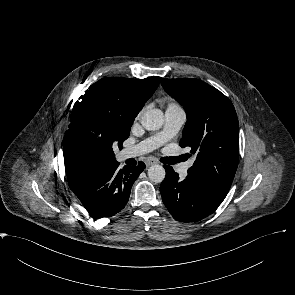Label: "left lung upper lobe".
Listing matches in <instances>:
<instances>
[{
	"label": "left lung upper lobe",
	"instance_id": "left-lung-upper-lobe-1",
	"mask_svg": "<svg viewBox=\"0 0 295 295\" xmlns=\"http://www.w3.org/2000/svg\"><path fill=\"white\" fill-rule=\"evenodd\" d=\"M161 84L186 111L180 146L190 147L196 156L188 175L224 199L239 157V124L233 104L199 79H163Z\"/></svg>",
	"mask_w": 295,
	"mask_h": 295
}]
</instances>
